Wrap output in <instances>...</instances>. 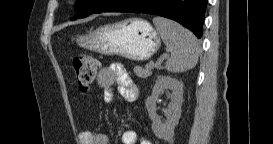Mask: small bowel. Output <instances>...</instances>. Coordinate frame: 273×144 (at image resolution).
<instances>
[{
    "label": "small bowel",
    "mask_w": 273,
    "mask_h": 144,
    "mask_svg": "<svg viewBox=\"0 0 273 144\" xmlns=\"http://www.w3.org/2000/svg\"><path fill=\"white\" fill-rule=\"evenodd\" d=\"M98 83L106 92L107 101H112L111 91L114 86L118 87V91L124 100L133 102L138 98L139 92L134 85L128 72L120 65L113 64L101 69L98 76ZM80 144H108L109 137L103 132L82 131L79 134ZM123 144H150L145 138H138L135 131L127 130L122 134Z\"/></svg>",
    "instance_id": "1"
}]
</instances>
